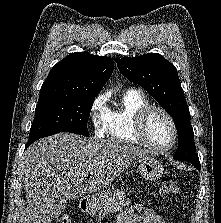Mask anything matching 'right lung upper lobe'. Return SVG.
Masks as SVG:
<instances>
[{"instance_id":"right-lung-upper-lobe-1","label":"right lung upper lobe","mask_w":221,"mask_h":223,"mask_svg":"<svg viewBox=\"0 0 221 223\" xmlns=\"http://www.w3.org/2000/svg\"><path fill=\"white\" fill-rule=\"evenodd\" d=\"M113 60L87 52L71 53L53 66L43 83L38 101L96 97L113 72Z\"/></svg>"}]
</instances>
